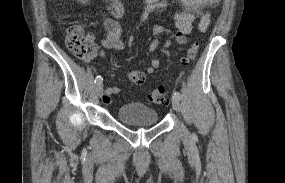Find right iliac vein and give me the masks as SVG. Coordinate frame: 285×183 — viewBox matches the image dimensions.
<instances>
[{
  "instance_id": "obj_1",
  "label": "right iliac vein",
  "mask_w": 285,
  "mask_h": 183,
  "mask_svg": "<svg viewBox=\"0 0 285 183\" xmlns=\"http://www.w3.org/2000/svg\"><path fill=\"white\" fill-rule=\"evenodd\" d=\"M96 90L99 96H102L103 85L102 83H97Z\"/></svg>"
}]
</instances>
